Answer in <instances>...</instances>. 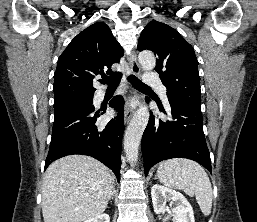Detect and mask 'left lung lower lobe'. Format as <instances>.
<instances>
[{"instance_id":"left-lung-lower-lobe-1","label":"left lung lower lobe","mask_w":257,"mask_h":222,"mask_svg":"<svg viewBox=\"0 0 257 222\" xmlns=\"http://www.w3.org/2000/svg\"><path fill=\"white\" fill-rule=\"evenodd\" d=\"M172 120L151 116L142 136L144 171L170 158H187L203 165L209 172L211 160L203 132L201 105L177 97H168Z\"/></svg>"}]
</instances>
